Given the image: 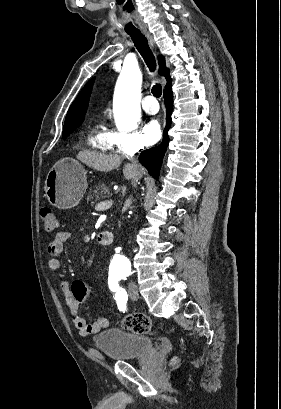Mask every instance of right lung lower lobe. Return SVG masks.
I'll return each instance as SVG.
<instances>
[{
    "mask_svg": "<svg viewBox=\"0 0 281 409\" xmlns=\"http://www.w3.org/2000/svg\"><path fill=\"white\" fill-rule=\"evenodd\" d=\"M164 100L167 107V116L166 127L163 133V141L157 147L143 151L139 157L140 161L149 171L150 175H152L155 178H158L159 176V170L162 164V159L164 157L169 142L167 131L171 126L170 113L172 112L173 107V93L171 88L164 92Z\"/></svg>",
    "mask_w": 281,
    "mask_h": 409,
    "instance_id": "obj_1",
    "label": "right lung lower lobe"
}]
</instances>
